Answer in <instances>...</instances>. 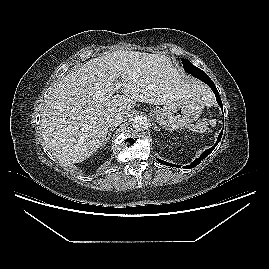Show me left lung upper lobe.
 <instances>
[{"label": "left lung upper lobe", "instance_id": "5c2ea615", "mask_svg": "<svg viewBox=\"0 0 269 269\" xmlns=\"http://www.w3.org/2000/svg\"><path fill=\"white\" fill-rule=\"evenodd\" d=\"M182 63H183V67H184V69H185V71H186L187 73L192 74V73H194V72H196V71H198V70H201V69L197 68L196 66H194V65H193L190 61H188L187 59H182Z\"/></svg>", "mask_w": 269, "mask_h": 269}]
</instances>
